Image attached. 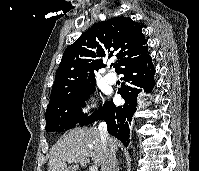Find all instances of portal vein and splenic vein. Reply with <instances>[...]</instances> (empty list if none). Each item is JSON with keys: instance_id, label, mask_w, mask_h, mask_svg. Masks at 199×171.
Masks as SVG:
<instances>
[{"instance_id": "1", "label": "portal vein and splenic vein", "mask_w": 199, "mask_h": 171, "mask_svg": "<svg viewBox=\"0 0 199 171\" xmlns=\"http://www.w3.org/2000/svg\"><path fill=\"white\" fill-rule=\"evenodd\" d=\"M79 162L81 164H87L86 159H81V160H79ZM89 170L90 171H98V167L96 165H93V166H90Z\"/></svg>"}]
</instances>
